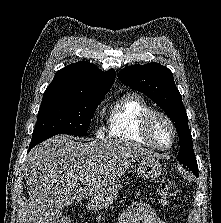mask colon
I'll use <instances>...</instances> for the list:
<instances>
[{
  "label": "colon",
  "instance_id": "1",
  "mask_svg": "<svg viewBox=\"0 0 221 223\" xmlns=\"http://www.w3.org/2000/svg\"><path fill=\"white\" fill-rule=\"evenodd\" d=\"M159 198L163 203H167L178 195L177 186L170 180H162L158 188ZM55 223H70L66 216H62Z\"/></svg>",
  "mask_w": 221,
  "mask_h": 223
}]
</instances>
